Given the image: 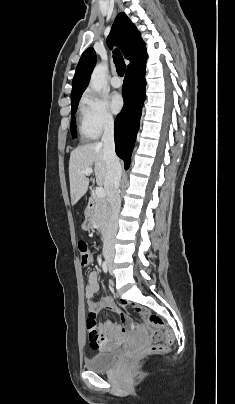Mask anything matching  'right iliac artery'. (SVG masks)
<instances>
[{"mask_svg":"<svg viewBox=\"0 0 235 404\" xmlns=\"http://www.w3.org/2000/svg\"><path fill=\"white\" fill-rule=\"evenodd\" d=\"M102 268H103V271H104L105 273L108 272V266H107V263H106L105 261L103 262Z\"/></svg>","mask_w":235,"mask_h":404,"instance_id":"82829eb1","label":"right iliac artery"}]
</instances>
